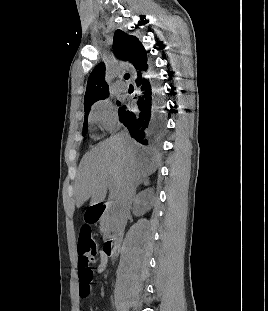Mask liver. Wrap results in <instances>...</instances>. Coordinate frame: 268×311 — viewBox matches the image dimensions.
Listing matches in <instances>:
<instances>
[{
  "mask_svg": "<svg viewBox=\"0 0 268 311\" xmlns=\"http://www.w3.org/2000/svg\"><path fill=\"white\" fill-rule=\"evenodd\" d=\"M155 168V160L149 159L129 136H112L82 158L75 181L76 206L81 207L89 199L91 205L104 201L110 181L120 194L126 181L139 182Z\"/></svg>",
  "mask_w": 268,
  "mask_h": 311,
  "instance_id": "liver-1",
  "label": "liver"
}]
</instances>
